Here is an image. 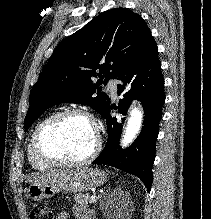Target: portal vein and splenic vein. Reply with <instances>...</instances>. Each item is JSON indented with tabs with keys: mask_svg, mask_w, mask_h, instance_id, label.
I'll list each match as a JSON object with an SVG mask.
<instances>
[{
	"mask_svg": "<svg viewBox=\"0 0 211 219\" xmlns=\"http://www.w3.org/2000/svg\"><path fill=\"white\" fill-rule=\"evenodd\" d=\"M95 200H96V195H92L91 196V202H95Z\"/></svg>",
	"mask_w": 211,
	"mask_h": 219,
	"instance_id": "18ae733b",
	"label": "portal vein and splenic vein"
}]
</instances>
